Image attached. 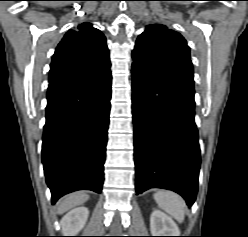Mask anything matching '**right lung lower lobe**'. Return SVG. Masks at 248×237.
I'll list each match as a JSON object with an SVG mask.
<instances>
[{"label": "right lung lower lobe", "instance_id": "right-lung-lower-lobe-1", "mask_svg": "<svg viewBox=\"0 0 248 237\" xmlns=\"http://www.w3.org/2000/svg\"><path fill=\"white\" fill-rule=\"evenodd\" d=\"M109 68L48 87L42 162L52 204L72 191L102 190L111 98Z\"/></svg>", "mask_w": 248, "mask_h": 237}]
</instances>
